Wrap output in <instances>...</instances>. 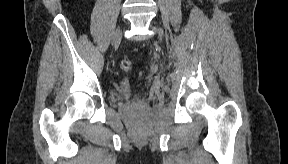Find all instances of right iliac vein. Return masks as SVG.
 I'll return each mask as SVG.
<instances>
[{
	"instance_id": "obj_1",
	"label": "right iliac vein",
	"mask_w": 288,
	"mask_h": 164,
	"mask_svg": "<svg viewBox=\"0 0 288 164\" xmlns=\"http://www.w3.org/2000/svg\"><path fill=\"white\" fill-rule=\"evenodd\" d=\"M120 37H121V29L117 28L113 34L112 42L114 43V42L118 41L120 39Z\"/></svg>"
}]
</instances>
